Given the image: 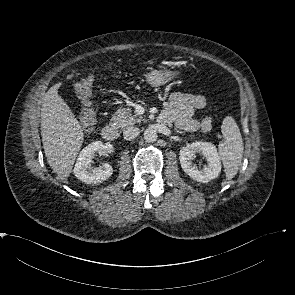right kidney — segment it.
<instances>
[{
  "label": "right kidney",
  "instance_id": "right-kidney-1",
  "mask_svg": "<svg viewBox=\"0 0 295 295\" xmlns=\"http://www.w3.org/2000/svg\"><path fill=\"white\" fill-rule=\"evenodd\" d=\"M112 145L96 141L86 146L79 154L74 167V175L86 184H96L107 180L113 173V168L109 163H104L95 169L91 167L92 157L98 152L106 155L112 152Z\"/></svg>",
  "mask_w": 295,
  "mask_h": 295
}]
</instances>
